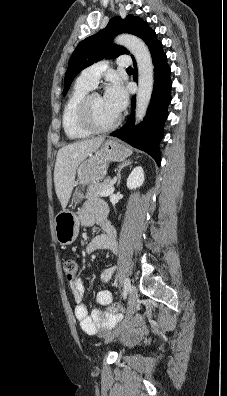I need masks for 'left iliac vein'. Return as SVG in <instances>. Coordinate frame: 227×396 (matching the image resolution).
Instances as JSON below:
<instances>
[{"label":"left iliac vein","instance_id":"left-iliac-vein-1","mask_svg":"<svg viewBox=\"0 0 227 396\" xmlns=\"http://www.w3.org/2000/svg\"><path fill=\"white\" fill-rule=\"evenodd\" d=\"M138 300V290L135 285H131L129 289V297H128V306H129V313L131 314L136 307ZM121 330L116 331L106 342L111 341L115 336L119 335Z\"/></svg>","mask_w":227,"mask_h":396}]
</instances>
